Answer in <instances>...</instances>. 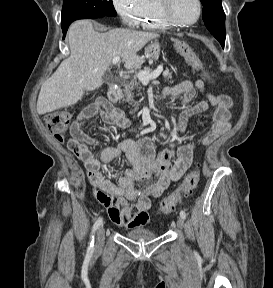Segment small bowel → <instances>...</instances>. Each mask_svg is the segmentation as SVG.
<instances>
[{"label": "small bowel", "instance_id": "small-bowel-1", "mask_svg": "<svg viewBox=\"0 0 273 288\" xmlns=\"http://www.w3.org/2000/svg\"><path fill=\"white\" fill-rule=\"evenodd\" d=\"M197 91L204 94L205 100L193 103ZM163 94L179 100L183 106L178 119L180 133L186 131L190 117L213 108L212 125L198 140L201 145H210L230 129L232 99L227 95L207 92L203 80H185L163 89ZM97 115L115 129L130 126L122 111L112 109L104 101H97L85 107L72 124L68 149L83 163L95 198L107 209L110 220L118 226L142 227L149 222L151 198L163 194L191 166L196 143L188 142L176 150L157 152L148 137L136 141L124 139L117 146L103 149L98 159L91 151L96 142L86 133L87 121ZM122 155L126 156L131 167L117 181L105 177L101 163H108Z\"/></svg>", "mask_w": 273, "mask_h": 288}]
</instances>
